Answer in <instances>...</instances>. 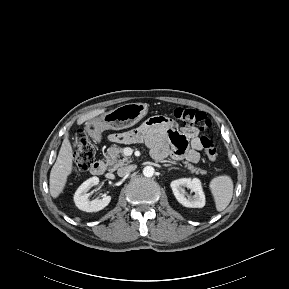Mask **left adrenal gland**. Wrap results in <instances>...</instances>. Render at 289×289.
<instances>
[{"label": "left adrenal gland", "instance_id": "1", "mask_svg": "<svg viewBox=\"0 0 289 289\" xmlns=\"http://www.w3.org/2000/svg\"><path fill=\"white\" fill-rule=\"evenodd\" d=\"M164 166H171V164H164Z\"/></svg>", "mask_w": 289, "mask_h": 289}]
</instances>
